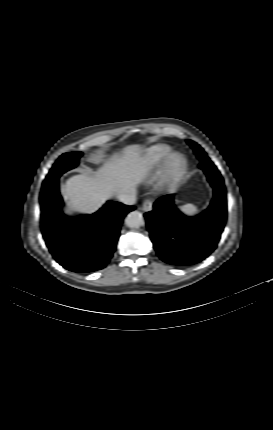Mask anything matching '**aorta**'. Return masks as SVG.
<instances>
[{
	"instance_id": "762f6f07",
	"label": "aorta",
	"mask_w": 273,
	"mask_h": 430,
	"mask_svg": "<svg viewBox=\"0 0 273 430\" xmlns=\"http://www.w3.org/2000/svg\"><path fill=\"white\" fill-rule=\"evenodd\" d=\"M125 223L130 228H138L144 224V217L141 212L132 211L127 215Z\"/></svg>"
}]
</instances>
